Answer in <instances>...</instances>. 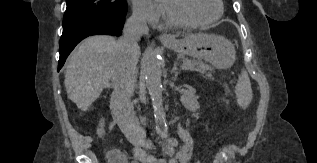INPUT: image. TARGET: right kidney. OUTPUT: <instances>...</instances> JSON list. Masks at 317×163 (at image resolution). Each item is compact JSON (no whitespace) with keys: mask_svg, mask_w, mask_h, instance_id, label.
I'll return each instance as SVG.
<instances>
[{"mask_svg":"<svg viewBox=\"0 0 317 163\" xmlns=\"http://www.w3.org/2000/svg\"><path fill=\"white\" fill-rule=\"evenodd\" d=\"M105 134V130H104V119H101L100 123H99V127L97 128V135L99 137H103Z\"/></svg>","mask_w":317,"mask_h":163,"instance_id":"ca27d5eb","label":"right kidney"}]
</instances>
